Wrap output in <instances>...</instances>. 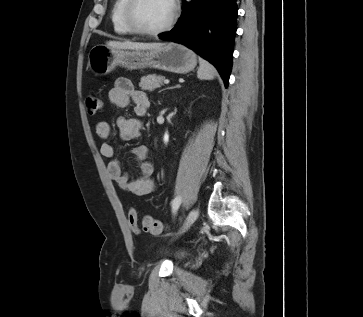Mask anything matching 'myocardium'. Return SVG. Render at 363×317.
<instances>
[{
	"mask_svg": "<svg viewBox=\"0 0 363 317\" xmlns=\"http://www.w3.org/2000/svg\"><path fill=\"white\" fill-rule=\"evenodd\" d=\"M138 2H139V0H127L126 4L124 6V9H123V19H124L125 25L132 33H134L136 35H140V36H145V37H155V36H159V35L166 33L167 31H169L172 28V26L174 25V23L176 21L177 15H178L179 7H178L177 0H170L171 5H172L170 17L163 26H161L160 28L155 29V30L144 29L136 23L135 17H134V11H135V8H136Z\"/></svg>",
	"mask_w": 363,
	"mask_h": 317,
	"instance_id": "1",
	"label": "myocardium"
}]
</instances>
